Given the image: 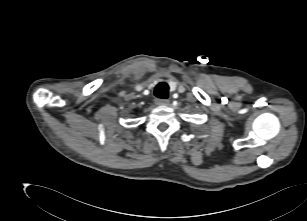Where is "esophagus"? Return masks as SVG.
I'll return each instance as SVG.
<instances>
[{
    "label": "esophagus",
    "mask_w": 307,
    "mask_h": 221,
    "mask_svg": "<svg viewBox=\"0 0 307 221\" xmlns=\"http://www.w3.org/2000/svg\"><path fill=\"white\" fill-rule=\"evenodd\" d=\"M155 104L158 105V106L168 105L169 100L168 99H155Z\"/></svg>",
    "instance_id": "obj_1"
}]
</instances>
